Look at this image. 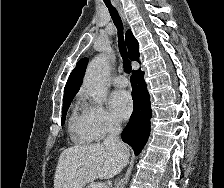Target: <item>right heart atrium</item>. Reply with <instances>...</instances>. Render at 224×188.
I'll use <instances>...</instances> for the list:
<instances>
[{
	"label": "right heart atrium",
	"instance_id": "d8ad5b80",
	"mask_svg": "<svg viewBox=\"0 0 224 188\" xmlns=\"http://www.w3.org/2000/svg\"><path fill=\"white\" fill-rule=\"evenodd\" d=\"M83 118L95 139H104L119 129L115 117L99 104L87 103L83 109Z\"/></svg>",
	"mask_w": 224,
	"mask_h": 188
}]
</instances>
